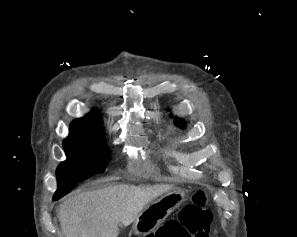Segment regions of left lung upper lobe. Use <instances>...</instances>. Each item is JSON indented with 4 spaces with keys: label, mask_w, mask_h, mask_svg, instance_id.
I'll use <instances>...</instances> for the list:
<instances>
[{
    "label": "left lung upper lobe",
    "mask_w": 297,
    "mask_h": 237,
    "mask_svg": "<svg viewBox=\"0 0 297 237\" xmlns=\"http://www.w3.org/2000/svg\"><path fill=\"white\" fill-rule=\"evenodd\" d=\"M177 126L184 128L185 127V122L183 120H180L178 118L175 119Z\"/></svg>",
    "instance_id": "1"
}]
</instances>
